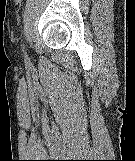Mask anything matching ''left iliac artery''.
Listing matches in <instances>:
<instances>
[{"label": "left iliac artery", "instance_id": "left-iliac-artery-1", "mask_svg": "<svg viewBox=\"0 0 135 161\" xmlns=\"http://www.w3.org/2000/svg\"><path fill=\"white\" fill-rule=\"evenodd\" d=\"M25 58L27 59V54H25Z\"/></svg>", "mask_w": 135, "mask_h": 161}]
</instances>
